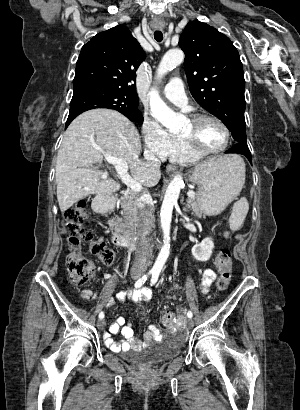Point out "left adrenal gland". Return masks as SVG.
Returning <instances> with one entry per match:
<instances>
[{"label":"left adrenal gland","mask_w":300,"mask_h":410,"mask_svg":"<svg viewBox=\"0 0 300 410\" xmlns=\"http://www.w3.org/2000/svg\"><path fill=\"white\" fill-rule=\"evenodd\" d=\"M184 204H185V203H184ZM184 211L187 212V208H186V207H184Z\"/></svg>","instance_id":"obj_1"}]
</instances>
